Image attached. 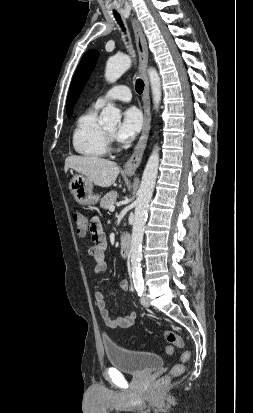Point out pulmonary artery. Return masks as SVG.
I'll use <instances>...</instances> for the list:
<instances>
[{
	"instance_id": "pulmonary-artery-1",
	"label": "pulmonary artery",
	"mask_w": 253,
	"mask_h": 413,
	"mask_svg": "<svg viewBox=\"0 0 253 413\" xmlns=\"http://www.w3.org/2000/svg\"><path fill=\"white\" fill-rule=\"evenodd\" d=\"M131 97V91L127 86L118 85L108 90L104 95L100 96L94 105L100 108L111 100L129 102Z\"/></svg>"
}]
</instances>
